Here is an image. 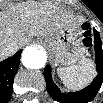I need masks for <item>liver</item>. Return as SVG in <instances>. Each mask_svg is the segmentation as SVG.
<instances>
[{"label":"liver","mask_w":103,"mask_h":103,"mask_svg":"<svg viewBox=\"0 0 103 103\" xmlns=\"http://www.w3.org/2000/svg\"><path fill=\"white\" fill-rule=\"evenodd\" d=\"M82 19L57 7L48 0H26L0 17L1 57L13 55L33 36H53L68 27H77ZM14 46L5 50L6 44Z\"/></svg>","instance_id":"6515ba94"}]
</instances>
